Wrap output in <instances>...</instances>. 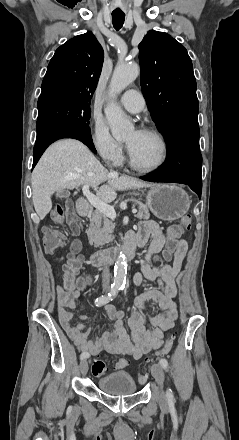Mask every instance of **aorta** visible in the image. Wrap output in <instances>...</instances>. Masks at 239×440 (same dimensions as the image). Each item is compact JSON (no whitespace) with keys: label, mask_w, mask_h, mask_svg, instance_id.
Instances as JSON below:
<instances>
[{"label":"aorta","mask_w":239,"mask_h":440,"mask_svg":"<svg viewBox=\"0 0 239 440\" xmlns=\"http://www.w3.org/2000/svg\"><path fill=\"white\" fill-rule=\"evenodd\" d=\"M139 68L137 64H125V62H118L110 82L109 94L111 98H116L117 94L123 92L129 84H132L139 76ZM106 120L110 126L111 134L117 142H122L127 138L128 134L134 132V126L124 114L122 108L111 100L110 104L104 108ZM127 258L125 254H118L114 266V286L122 288L126 282L127 276Z\"/></svg>","instance_id":"obj_1"}]
</instances>
